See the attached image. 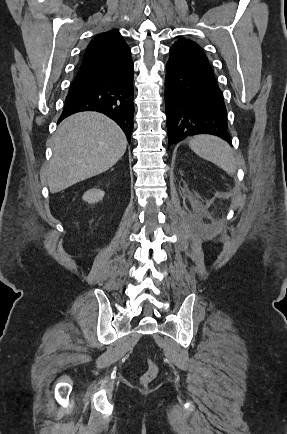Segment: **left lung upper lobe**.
Here are the masks:
<instances>
[{
  "label": "left lung upper lobe",
  "mask_w": 287,
  "mask_h": 434,
  "mask_svg": "<svg viewBox=\"0 0 287 434\" xmlns=\"http://www.w3.org/2000/svg\"><path fill=\"white\" fill-rule=\"evenodd\" d=\"M170 53L178 56L208 61L200 46L187 39H179L170 48Z\"/></svg>",
  "instance_id": "left-lung-upper-lobe-1"
}]
</instances>
